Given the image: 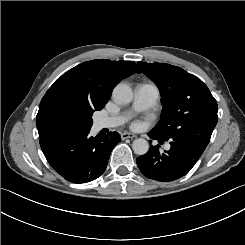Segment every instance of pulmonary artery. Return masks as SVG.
<instances>
[{
    "label": "pulmonary artery",
    "instance_id": "obj_1",
    "mask_svg": "<svg viewBox=\"0 0 245 245\" xmlns=\"http://www.w3.org/2000/svg\"><path fill=\"white\" fill-rule=\"evenodd\" d=\"M133 106L136 110H146L152 107L160 98L158 87L152 82H143L136 85ZM127 120L126 115H112L99 117L94 120L93 130L100 131L103 128L119 126ZM163 148H169V143H163Z\"/></svg>",
    "mask_w": 245,
    "mask_h": 245
}]
</instances>
